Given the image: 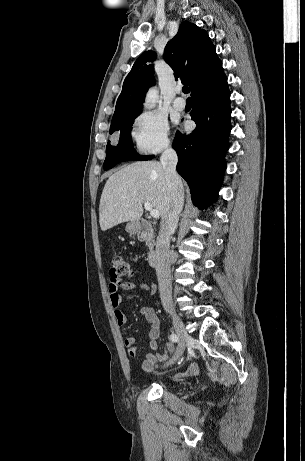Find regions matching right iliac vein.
<instances>
[{"mask_svg":"<svg viewBox=\"0 0 305 461\" xmlns=\"http://www.w3.org/2000/svg\"><path fill=\"white\" fill-rule=\"evenodd\" d=\"M170 315L172 318L174 329L178 337L180 338V345H179L177 352L175 353L173 358L167 363V365L173 364L174 362H176L182 357L187 342L191 340V336L187 333L186 329L184 328L183 322L179 318V316L173 311H170Z\"/></svg>","mask_w":305,"mask_h":461,"instance_id":"63e3f726","label":"right iliac vein"}]
</instances>
